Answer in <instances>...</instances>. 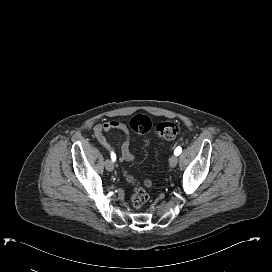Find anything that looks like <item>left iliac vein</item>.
Wrapping results in <instances>:
<instances>
[{
	"mask_svg": "<svg viewBox=\"0 0 272 272\" xmlns=\"http://www.w3.org/2000/svg\"><path fill=\"white\" fill-rule=\"evenodd\" d=\"M178 162V157L176 155H172L169 159V165L170 167H175L177 165Z\"/></svg>",
	"mask_w": 272,
	"mask_h": 272,
	"instance_id": "obj_1",
	"label": "left iliac vein"
}]
</instances>
